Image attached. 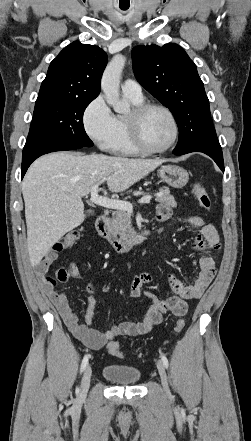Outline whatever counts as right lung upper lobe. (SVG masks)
I'll return each mask as SVG.
<instances>
[{"label": "right lung upper lobe", "instance_id": "obj_1", "mask_svg": "<svg viewBox=\"0 0 251 441\" xmlns=\"http://www.w3.org/2000/svg\"><path fill=\"white\" fill-rule=\"evenodd\" d=\"M107 61L98 46L72 42L51 62L36 101L96 98Z\"/></svg>", "mask_w": 251, "mask_h": 441}]
</instances>
